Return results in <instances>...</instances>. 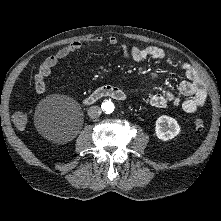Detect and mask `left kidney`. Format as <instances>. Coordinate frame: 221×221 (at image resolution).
I'll return each mask as SVG.
<instances>
[{
	"instance_id": "left-kidney-1",
	"label": "left kidney",
	"mask_w": 221,
	"mask_h": 221,
	"mask_svg": "<svg viewBox=\"0 0 221 221\" xmlns=\"http://www.w3.org/2000/svg\"><path fill=\"white\" fill-rule=\"evenodd\" d=\"M156 136L164 141L171 140L180 133L178 122L167 115L160 116L155 123Z\"/></svg>"
}]
</instances>
